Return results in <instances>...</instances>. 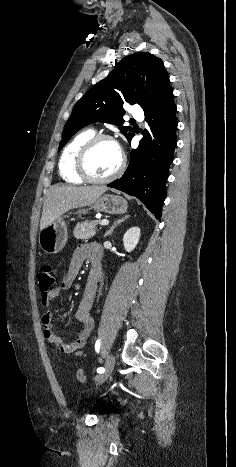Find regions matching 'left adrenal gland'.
<instances>
[{
  "mask_svg": "<svg viewBox=\"0 0 236 467\" xmlns=\"http://www.w3.org/2000/svg\"><path fill=\"white\" fill-rule=\"evenodd\" d=\"M130 216L129 215H125L124 217H122L121 219L115 221L113 223V225L111 226V228L105 233L104 237L106 238L107 236H110L114 229L119 225L121 224L122 222L126 221Z\"/></svg>",
  "mask_w": 236,
  "mask_h": 467,
  "instance_id": "obj_1",
  "label": "left adrenal gland"
}]
</instances>
